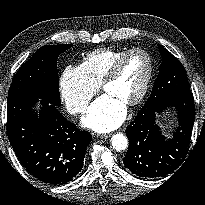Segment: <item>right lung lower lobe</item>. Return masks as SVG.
<instances>
[{"label":"right lung lower lobe","instance_id":"98d812e1","mask_svg":"<svg viewBox=\"0 0 205 205\" xmlns=\"http://www.w3.org/2000/svg\"><path fill=\"white\" fill-rule=\"evenodd\" d=\"M38 99L28 94L8 98V139L33 177L52 185L66 184L82 170L92 136L79 131L46 100L41 99L39 116L34 114L31 108Z\"/></svg>","mask_w":205,"mask_h":205}]
</instances>
